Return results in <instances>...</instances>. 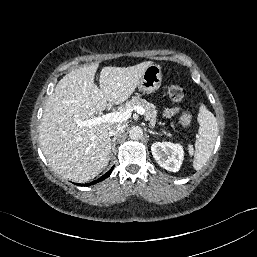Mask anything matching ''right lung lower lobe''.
Returning a JSON list of instances; mask_svg holds the SVG:
<instances>
[{
    "mask_svg": "<svg viewBox=\"0 0 257 257\" xmlns=\"http://www.w3.org/2000/svg\"><path fill=\"white\" fill-rule=\"evenodd\" d=\"M112 170H113V167H112L106 174H104L103 176H101L99 179H97V180H95V181H93V182H91V183H88V184H86V185L95 184V183H98V182H100V181L106 179V178L111 174ZM78 185H81V184H78Z\"/></svg>",
    "mask_w": 257,
    "mask_h": 257,
    "instance_id": "98d812e1",
    "label": "right lung lower lobe"
}]
</instances>
